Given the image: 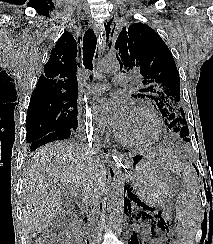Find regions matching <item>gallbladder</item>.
<instances>
[{
	"label": "gallbladder",
	"mask_w": 213,
	"mask_h": 244,
	"mask_svg": "<svg viewBox=\"0 0 213 244\" xmlns=\"http://www.w3.org/2000/svg\"><path fill=\"white\" fill-rule=\"evenodd\" d=\"M71 217L68 209L61 210L53 219L51 226L53 228H63L70 223Z\"/></svg>",
	"instance_id": "bac80fb5"
}]
</instances>
